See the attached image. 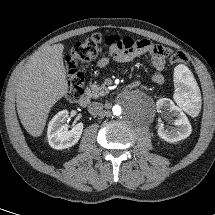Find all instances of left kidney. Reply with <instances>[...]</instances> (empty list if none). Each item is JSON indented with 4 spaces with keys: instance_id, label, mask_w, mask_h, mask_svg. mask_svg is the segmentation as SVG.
<instances>
[{
    "instance_id": "obj_1",
    "label": "left kidney",
    "mask_w": 215,
    "mask_h": 215,
    "mask_svg": "<svg viewBox=\"0 0 215 215\" xmlns=\"http://www.w3.org/2000/svg\"><path fill=\"white\" fill-rule=\"evenodd\" d=\"M157 110L164 113L170 111L175 117L176 127L165 128L159 119L158 136L170 143L186 139L192 132V127L183 111L177 107L174 102L168 98H161L156 102ZM165 114V113H164Z\"/></svg>"
}]
</instances>
